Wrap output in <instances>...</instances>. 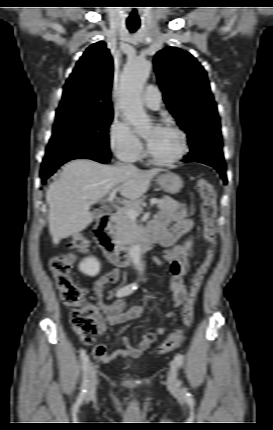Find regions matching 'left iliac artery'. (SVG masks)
<instances>
[{
    "label": "left iliac artery",
    "instance_id": "1",
    "mask_svg": "<svg viewBox=\"0 0 273 430\" xmlns=\"http://www.w3.org/2000/svg\"><path fill=\"white\" fill-rule=\"evenodd\" d=\"M174 360H175V363L177 364L178 367L182 366V364H183V357H182V355L176 354Z\"/></svg>",
    "mask_w": 273,
    "mask_h": 430
}]
</instances>
